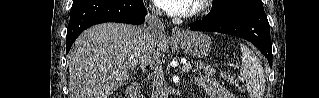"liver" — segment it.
<instances>
[{"instance_id":"obj_1","label":"liver","mask_w":319,"mask_h":98,"mask_svg":"<svg viewBox=\"0 0 319 98\" xmlns=\"http://www.w3.org/2000/svg\"><path fill=\"white\" fill-rule=\"evenodd\" d=\"M152 43L144 27L103 23L84 31L69 52L70 98H108L149 63ZM168 49L165 36L161 52Z\"/></svg>"}]
</instances>
